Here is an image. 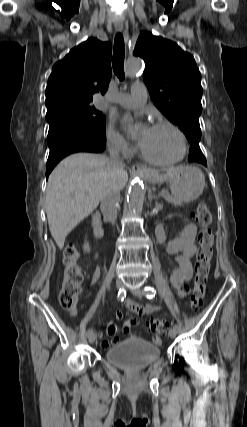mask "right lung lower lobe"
Returning <instances> with one entry per match:
<instances>
[{
    "label": "right lung lower lobe",
    "instance_id": "98d812e1",
    "mask_svg": "<svg viewBox=\"0 0 247 427\" xmlns=\"http://www.w3.org/2000/svg\"><path fill=\"white\" fill-rule=\"evenodd\" d=\"M47 143L50 152L46 166V178L56 164L67 155L75 152L100 153L106 148L105 142L65 124L49 125Z\"/></svg>",
    "mask_w": 247,
    "mask_h": 427
}]
</instances>
